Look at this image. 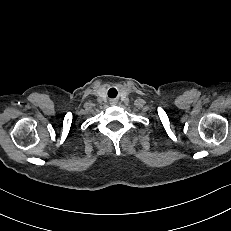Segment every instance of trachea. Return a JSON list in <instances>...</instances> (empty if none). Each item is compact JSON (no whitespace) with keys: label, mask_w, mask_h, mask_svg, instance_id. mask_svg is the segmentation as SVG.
Returning a JSON list of instances; mask_svg holds the SVG:
<instances>
[{"label":"trachea","mask_w":231,"mask_h":231,"mask_svg":"<svg viewBox=\"0 0 231 231\" xmlns=\"http://www.w3.org/2000/svg\"><path fill=\"white\" fill-rule=\"evenodd\" d=\"M112 90H115V89H113V88H112V89H110V91H112Z\"/></svg>","instance_id":"1"}]
</instances>
